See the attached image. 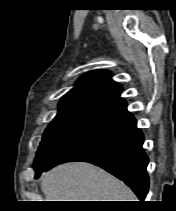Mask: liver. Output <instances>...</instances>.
I'll list each match as a JSON object with an SVG mask.
<instances>
[{
  "label": "liver",
  "instance_id": "1",
  "mask_svg": "<svg viewBox=\"0 0 176 211\" xmlns=\"http://www.w3.org/2000/svg\"><path fill=\"white\" fill-rule=\"evenodd\" d=\"M40 186L47 201H137L123 182L84 162L53 168L42 175Z\"/></svg>",
  "mask_w": 176,
  "mask_h": 211
}]
</instances>
